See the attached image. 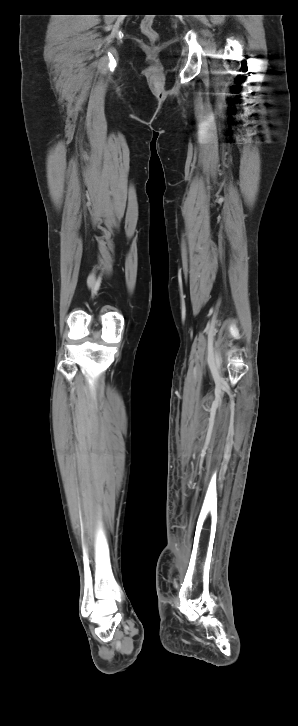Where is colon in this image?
Returning <instances> with one entry per match:
<instances>
[{"label":"colon","instance_id":"colon-1","mask_svg":"<svg viewBox=\"0 0 298 726\" xmlns=\"http://www.w3.org/2000/svg\"><path fill=\"white\" fill-rule=\"evenodd\" d=\"M153 23L154 20L151 16L144 18L141 22V31L147 38L155 41L158 38V34L153 27Z\"/></svg>","mask_w":298,"mask_h":726}]
</instances>
